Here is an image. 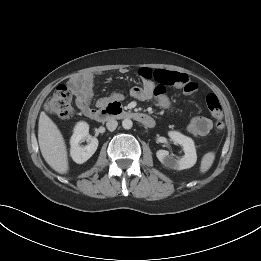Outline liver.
Listing matches in <instances>:
<instances>
[{"mask_svg": "<svg viewBox=\"0 0 261 261\" xmlns=\"http://www.w3.org/2000/svg\"><path fill=\"white\" fill-rule=\"evenodd\" d=\"M38 142L49 166L60 174L67 173L69 164L65 141L57 125L45 112H41L39 117Z\"/></svg>", "mask_w": 261, "mask_h": 261, "instance_id": "6515ba94", "label": "liver"}]
</instances>
